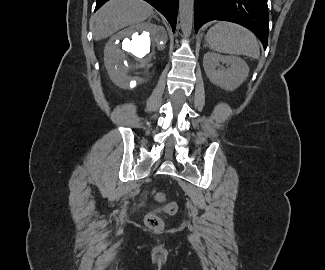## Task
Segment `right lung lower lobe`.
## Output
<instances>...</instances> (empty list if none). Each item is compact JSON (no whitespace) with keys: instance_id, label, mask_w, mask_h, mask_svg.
<instances>
[{"instance_id":"1","label":"right lung lower lobe","mask_w":325,"mask_h":270,"mask_svg":"<svg viewBox=\"0 0 325 270\" xmlns=\"http://www.w3.org/2000/svg\"><path fill=\"white\" fill-rule=\"evenodd\" d=\"M108 0H97L96 10L99 9ZM162 13L169 21L173 32L176 28L178 0H145Z\"/></svg>"}]
</instances>
